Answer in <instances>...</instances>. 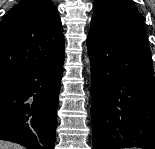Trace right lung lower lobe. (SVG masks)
Wrapping results in <instances>:
<instances>
[{"label":"right lung lower lobe","instance_id":"98d812e1","mask_svg":"<svg viewBox=\"0 0 155 149\" xmlns=\"http://www.w3.org/2000/svg\"><path fill=\"white\" fill-rule=\"evenodd\" d=\"M64 55L0 85V139L54 149Z\"/></svg>","mask_w":155,"mask_h":149}]
</instances>
